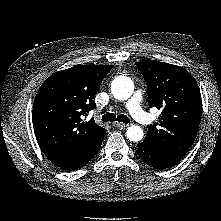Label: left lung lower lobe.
Wrapping results in <instances>:
<instances>
[{"label":"left lung lower lobe","mask_w":221,"mask_h":221,"mask_svg":"<svg viewBox=\"0 0 221 221\" xmlns=\"http://www.w3.org/2000/svg\"><path fill=\"white\" fill-rule=\"evenodd\" d=\"M137 154L149 166L163 170L176 165L182 158L150 147L146 143H138Z\"/></svg>","instance_id":"left-lung-lower-lobe-1"}]
</instances>
